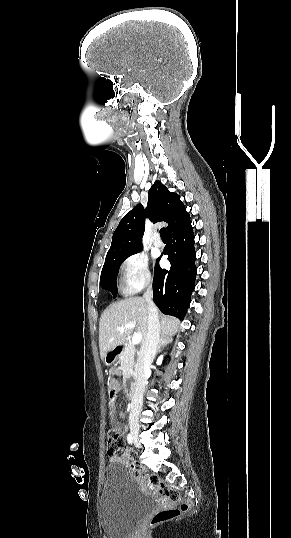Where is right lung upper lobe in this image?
I'll return each instance as SVG.
<instances>
[{"label":"right lung upper lobe","mask_w":291,"mask_h":538,"mask_svg":"<svg viewBox=\"0 0 291 538\" xmlns=\"http://www.w3.org/2000/svg\"><path fill=\"white\" fill-rule=\"evenodd\" d=\"M146 217H149L153 223L167 222V234L190 221V215L180 201V196L170 192L157 180L149 190L147 208L144 209L142 204H138L120 221L113 234L105 260L142 250Z\"/></svg>","instance_id":"right-lung-upper-lobe-1"}]
</instances>
